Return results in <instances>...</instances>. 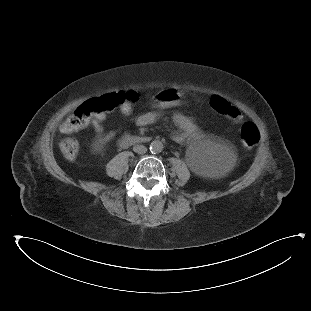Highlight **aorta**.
Returning a JSON list of instances; mask_svg holds the SVG:
<instances>
[{"mask_svg":"<svg viewBox=\"0 0 311 311\" xmlns=\"http://www.w3.org/2000/svg\"><path fill=\"white\" fill-rule=\"evenodd\" d=\"M163 150V144L159 140H155L150 145V151L152 153H159Z\"/></svg>","mask_w":311,"mask_h":311,"instance_id":"762f6f07","label":"aorta"}]
</instances>
